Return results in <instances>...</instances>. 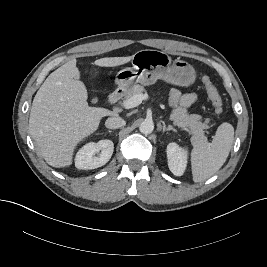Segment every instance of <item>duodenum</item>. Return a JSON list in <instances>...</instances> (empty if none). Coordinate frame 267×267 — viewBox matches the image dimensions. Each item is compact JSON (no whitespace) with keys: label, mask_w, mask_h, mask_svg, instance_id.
Instances as JSON below:
<instances>
[{"label":"duodenum","mask_w":267,"mask_h":267,"mask_svg":"<svg viewBox=\"0 0 267 267\" xmlns=\"http://www.w3.org/2000/svg\"><path fill=\"white\" fill-rule=\"evenodd\" d=\"M124 95V90L121 88L116 89L114 92H112L109 96V103L110 104H115L118 101L122 99Z\"/></svg>","instance_id":"obj_1"}]
</instances>
